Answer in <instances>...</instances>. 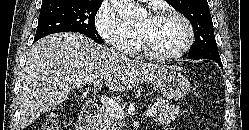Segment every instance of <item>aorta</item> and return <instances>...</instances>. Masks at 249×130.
Returning a JSON list of instances; mask_svg holds the SVG:
<instances>
[{"label":"aorta","mask_w":249,"mask_h":130,"mask_svg":"<svg viewBox=\"0 0 249 130\" xmlns=\"http://www.w3.org/2000/svg\"><path fill=\"white\" fill-rule=\"evenodd\" d=\"M111 4L125 22H136L143 13L131 0H111Z\"/></svg>","instance_id":"762f6f07"}]
</instances>
